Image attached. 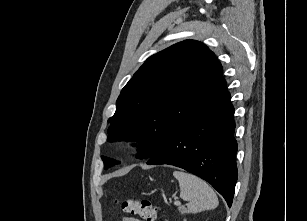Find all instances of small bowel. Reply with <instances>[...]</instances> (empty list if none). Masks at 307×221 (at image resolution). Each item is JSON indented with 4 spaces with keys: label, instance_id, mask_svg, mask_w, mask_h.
<instances>
[{
    "label": "small bowel",
    "instance_id": "obj_1",
    "mask_svg": "<svg viewBox=\"0 0 307 221\" xmlns=\"http://www.w3.org/2000/svg\"><path fill=\"white\" fill-rule=\"evenodd\" d=\"M122 221H140V220L132 218V217H124Z\"/></svg>",
    "mask_w": 307,
    "mask_h": 221
}]
</instances>
